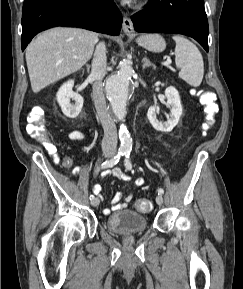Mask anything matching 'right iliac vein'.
<instances>
[{
    "mask_svg": "<svg viewBox=\"0 0 243 289\" xmlns=\"http://www.w3.org/2000/svg\"><path fill=\"white\" fill-rule=\"evenodd\" d=\"M106 156H107V157H110V154H109V153H106ZM99 203H100V200H99L98 197H94L93 199H91V205H92L93 207H97V206L99 205Z\"/></svg>",
    "mask_w": 243,
    "mask_h": 289,
    "instance_id": "63e3f726",
    "label": "right iliac vein"
}]
</instances>
